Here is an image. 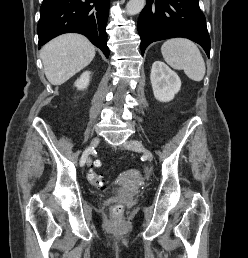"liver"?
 Masks as SVG:
<instances>
[{"instance_id": "1", "label": "liver", "mask_w": 248, "mask_h": 258, "mask_svg": "<svg viewBox=\"0 0 248 258\" xmlns=\"http://www.w3.org/2000/svg\"><path fill=\"white\" fill-rule=\"evenodd\" d=\"M95 56V47L79 34L61 35L40 51L44 72L53 85H61L88 66Z\"/></svg>"}]
</instances>
